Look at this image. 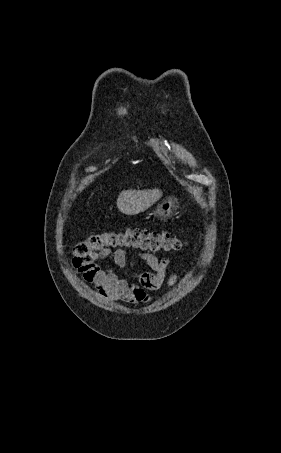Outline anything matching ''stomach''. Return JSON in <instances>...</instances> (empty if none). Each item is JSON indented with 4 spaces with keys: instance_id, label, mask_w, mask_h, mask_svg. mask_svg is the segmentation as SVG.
Returning a JSON list of instances; mask_svg holds the SVG:
<instances>
[{
    "instance_id": "obj_1",
    "label": "stomach",
    "mask_w": 281,
    "mask_h": 453,
    "mask_svg": "<svg viewBox=\"0 0 281 453\" xmlns=\"http://www.w3.org/2000/svg\"><path fill=\"white\" fill-rule=\"evenodd\" d=\"M175 202H177V198H174V196H166L161 202H158L155 210H153L151 214H154V216H157L160 220H166V218L172 216Z\"/></svg>"
}]
</instances>
